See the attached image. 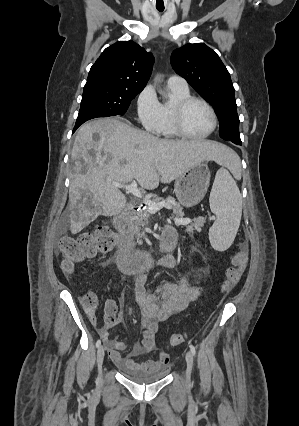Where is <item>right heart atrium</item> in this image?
<instances>
[{"instance_id": "obj_1", "label": "right heart atrium", "mask_w": 299, "mask_h": 426, "mask_svg": "<svg viewBox=\"0 0 299 426\" xmlns=\"http://www.w3.org/2000/svg\"><path fill=\"white\" fill-rule=\"evenodd\" d=\"M136 112L143 128L157 134L161 127V103L151 85H146L138 94Z\"/></svg>"}]
</instances>
